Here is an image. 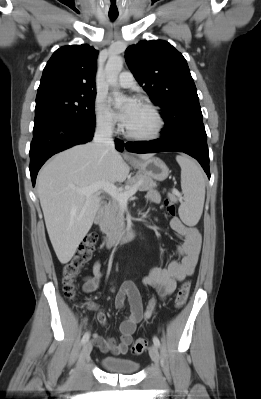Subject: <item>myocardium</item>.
Instances as JSON below:
<instances>
[{"label": "myocardium", "mask_w": 261, "mask_h": 399, "mask_svg": "<svg viewBox=\"0 0 261 399\" xmlns=\"http://www.w3.org/2000/svg\"><path fill=\"white\" fill-rule=\"evenodd\" d=\"M142 106L147 108L156 120L155 128L146 134H135L130 132L126 127H124V134L127 138L135 140V141H151L155 140L162 134L165 128V119L160 112V110L151 102L144 101L141 103Z\"/></svg>", "instance_id": "1"}]
</instances>
